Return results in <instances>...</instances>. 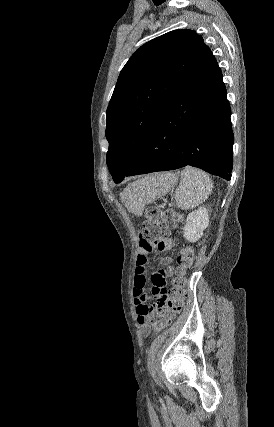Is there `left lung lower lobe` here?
<instances>
[{
    "label": "left lung lower lobe",
    "instance_id": "0a47b994",
    "mask_svg": "<svg viewBox=\"0 0 274 427\" xmlns=\"http://www.w3.org/2000/svg\"><path fill=\"white\" fill-rule=\"evenodd\" d=\"M221 70L212 53L166 107L126 176L187 165L230 180L233 132Z\"/></svg>",
    "mask_w": 274,
    "mask_h": 427
}]
</instances>
